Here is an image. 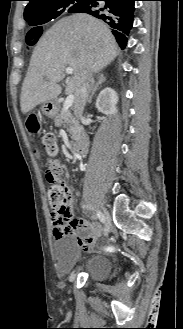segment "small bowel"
Instances as JSON below:
<instances>
[{"label": "small bowel", "instance_id": "small-bowel-1", "mask_svg": "<svg viewBox=\"0 0 183 329\" xmlns=\"http://www.w3.org/2000/svg\"><path fill=\"white\" fill-rule=\"evenodd\" d=\"M50 165L57 170L63 171L60 161L53 160ZM53 236L59 239L64 235H75L77 244L81 251L89 250L93 245L95 238L101 233V228L93 223H89L84 219L75 218L70 212L65 221H62L56 215H52ZM85 232V234H76V231Z\"/></svg>", "mask_w": 183, "mask_h": 329}]
</instances>
